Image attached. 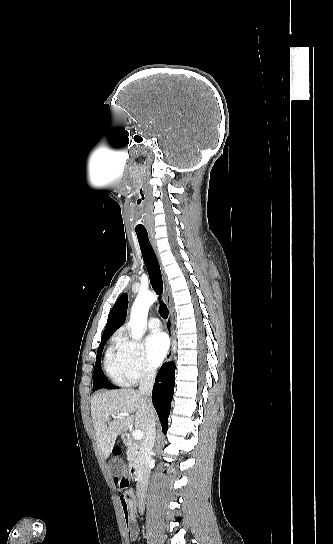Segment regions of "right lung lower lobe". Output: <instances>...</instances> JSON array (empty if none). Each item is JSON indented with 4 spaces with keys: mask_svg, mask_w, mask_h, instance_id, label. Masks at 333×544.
Masks as SVG:
<instances>
[{
    "mask_svg": "<svg viewBox=\"0 0 333 544\" xmlns=\"http://www.w3.org/2000/svg\"><path fill=\"white\" fill-rule=\"evenodd\" d=\"M175 364L167 362L160 368L153 387L152 401L161 421L163 432L168 428V416L175 385Z\"/></svg>",
    "mask_w": 333,
    "mask_h": 544,
    "instance_id": "98d812e1",
    "label": "right lung lower lobe"
}]
</instances>
